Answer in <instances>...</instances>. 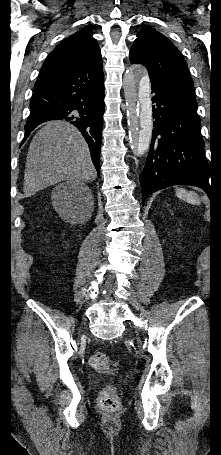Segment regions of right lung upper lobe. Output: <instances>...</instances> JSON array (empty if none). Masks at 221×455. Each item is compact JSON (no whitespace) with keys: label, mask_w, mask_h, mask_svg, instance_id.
<instances>
[{"label":"right lung upper lobe","mask_w":221,"mask_h":455,"mask_svg":"<svg viewBox=\"0 0 221 455\" xmlns=\"http://www.w3.org/2000/svg\"><path fill=\"white\" fill-rule=\"evenodd\" d=\"M101 58L90 29H83L61 42L44 62L35 87L43 81L86 61Z\"/></svg>","instance_id":"obj_1"}]
</instances>
